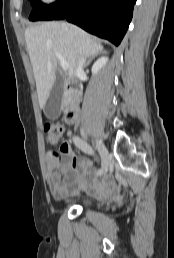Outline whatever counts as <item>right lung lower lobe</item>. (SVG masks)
Here are the masks:
<instances>
[{
    "label": "right lung lower lobe",
    "instance_id": "obj_1",
    "mask_svg": "<svg viewBox=\"0 0 174 258\" xmlns=\"http://www.w3.org/2000/svg\"><path fill=\"white\" fill-rule=\"evenodd\" d=\"M136 0H58L41 20L66 18L89 33L119 45L133 15Z\"/></svg>",
    "mask_w": 174,
    "mask_h": 258
}]
</instances>
